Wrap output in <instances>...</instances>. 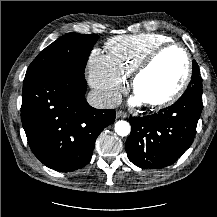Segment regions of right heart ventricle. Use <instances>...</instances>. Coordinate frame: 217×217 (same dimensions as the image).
I'll use <instances>...</instances> for the list:
<instances>
[{"label":"right heart ventricle","mask_w":217,"mask_h":217,"mask_svg":"<svg viewBox=\"0 0 217 217\" xmlns=\"http://www.w3.org/2000/svg\"><path fill=\"white\" fill-rule=\"evenodd\" d=\"M171 42L170 37L155 33L117 36L106 42V56L112 69L128 78L149 53Z\"/></svg>","instance_id":"obj_1"}]
</instances>
